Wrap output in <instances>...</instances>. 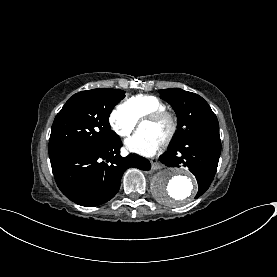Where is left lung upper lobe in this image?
Listing matches in <instances>:
<instances>
[{
	"label": "left lung upper lobe",
	"mask_w": 277,
	"mask_h": 277,
	"mask_svg": "<svg viewBox=\"0 0 277 277\" xmlns=\"http://www.w3.org/2000/svg\"><path fill=\"white\" fill-rule=\"evenodd\" d=\"M159 93L171 104L178 118L172 146L197 135L219 133L217 117L201 96L180 88L162 89Z\"/></svg>",
	"instance_id": "obj_1"
}]
</instances>
